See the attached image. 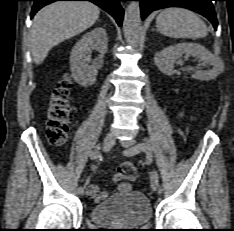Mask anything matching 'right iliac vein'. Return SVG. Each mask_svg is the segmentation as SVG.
<instances>
[{"mask_svg": "<svg viewBox=\"0 0 234 231\" xmlns=\"http://www.w3.org/2000/svg\"><path fill=\"white\" fill-rule=\"evenodd\" d=\"M115 144V136L113 133H108L106 137L104 138L103 141V150L105 152H108ZM77 194L78 195H83L84 194V189H81L78 187L77 189Z\"/></svg>", "mask_w": 234, "mask_h": 231, "instance_id": "63e3f726", "label": "right iliac vein"}]
</instances>
